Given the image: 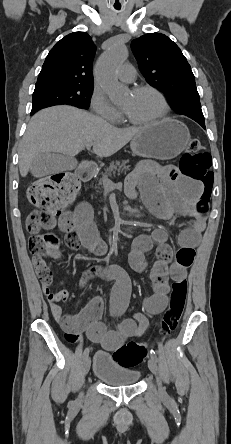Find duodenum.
<instances>
[{
  "label": "duodenum",
  "mask_w": 231,
  "mask_h": 444,
  "mask_svg": "<svg viewBox=\"0 0 231 444\" xmlns=\"http://www.w3.org/2000/svg\"><path fill=\"white\" fill-rule=\"evenodd\" d=\"M78 177L88 180L93 175V167L90 164H83L80 166V168L77 171ZM115 277V273L109 272L108 278L112 279Z\"/></svg>",
  "instance_id": "410a0bca"
}]
</instances>
